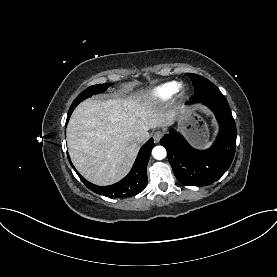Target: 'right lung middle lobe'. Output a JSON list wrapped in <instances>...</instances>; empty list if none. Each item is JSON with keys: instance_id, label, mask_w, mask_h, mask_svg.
<instances>
[{"instance_id": "obj_1", "label": "right lung middle lobe", "mask_w": 277, "mask_h": 277, "mask_svg": "<svg viewBox=\"0 0 277 277\" xmlns=\"http://www.w3.org/2000/svg\"><path fill=\"white\" fill-rule=\"evenodd\" d=\"M109 85L110 84L93 85V86H90L87 89H85L83 92H81L77 96V98L73 101V103H72V105H71V107L69 109V112H68V115H67V119L69 120L73 110L75 109V107L80 102H82L86 98L91 97L92 95H95V94H98V93H101V92L105 91L108 88Z\"/></svg>"}]
</instances>
